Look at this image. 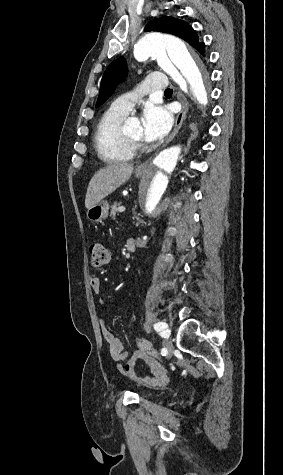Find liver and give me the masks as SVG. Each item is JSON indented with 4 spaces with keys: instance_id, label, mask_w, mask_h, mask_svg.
I'll list each match as a JSON object with an SVG mask.
<instances>
[{
    "instance_id": "1",
    "label": "liver",
    "mask_w": 283,
    "mask_h": 475,
    "mask_svg": "<svg viewBox=\"0 0 283 475\" xmlns=\"http://www.w3.org/2000/svg\"><path fill=\"white\" fill-rule=\"evenodd\" d=\"M133 172V164H109L100 172H96L90 180L85 198V208H92L103 198L115 192L121 184L129 180Z\"/></svg>"
}]
</instances>
